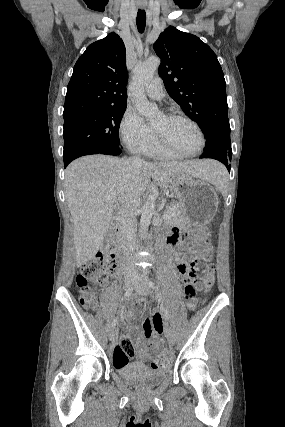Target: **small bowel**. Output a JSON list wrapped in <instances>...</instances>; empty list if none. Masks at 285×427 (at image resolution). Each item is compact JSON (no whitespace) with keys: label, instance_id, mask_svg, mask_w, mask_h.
<instances>
[{"label":"small bowel","instance_id":"1","mask_svg":"<svg viewBox=\"0 0 285 427\" xmlns=\"http://www.w3.org/2000/svg\"><path fill=\"white\" fill-rule=\"evenodd\" d=\"M176 232L177 231L174 229L170 231L168 235V242L174 245L179 243V239L175 237ZM143 304L144 299L140 298L139 301L134 304L137 312H134L127 307H123L121 311L122 320L129 325V332L127 336L134 339L137 350L135 354L126 356L123 352L118 350V347H115L113 362L117 368L125 366L130 358H134L140 362L149 361L151 359V352L154 350L153 341L157 340L158 343L161 344L159 334L161 333L160 326L162 317L160 314H155L151 319L145 320L142 331L134 323L135 318L142 310ZM186 307L190 310L194 309L195 302L187 301Z\"/></svg>","mask_w":285,"mask_h":427}]
</instances>
